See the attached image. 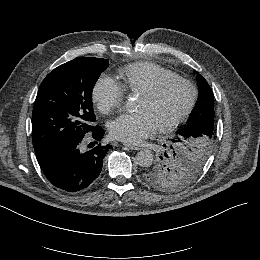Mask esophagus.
Wrapping results in <instances>:
<instances>
[{"mask_svg": "<svg viewBox=\"0 0 260 260\" xmlns=\"http://www.w3.org/2000/svg\"><path fill=\"white\" fill-rule=\"evenodd\" d=\"M124 145H125L126 147H128L129 149H132V150H140V149H141L140 146L134 145V144H132V143H124Z\"/></svg>", "mask_w": 260, "mask_h": 260, "instance_id": "esophagus-1", "label": "esophagus"}]
</instances>
